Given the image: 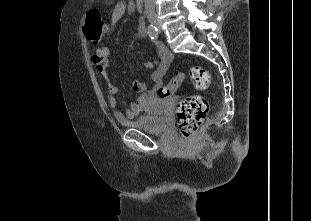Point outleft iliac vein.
Masks as SVG:
<instances>
[{
  "label": "left iliac vein",
  "instance_id": "1",
  "mask_svg": "<svg viewBox=\"0 0 311 221\" xmlns=\"http://www.w3.org/2000/svg\"><path fill=\"white\" fill-rule=\"evenodd\" d=\"M158 30L161 31L160 27L158 26Z\"/></svg>",
  "mask_w": 311,
  "mask_h": 221
}]
</instances>
